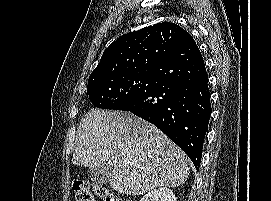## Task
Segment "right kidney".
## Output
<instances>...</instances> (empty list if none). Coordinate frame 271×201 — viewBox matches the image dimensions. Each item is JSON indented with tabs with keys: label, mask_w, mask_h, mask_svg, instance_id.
<instances>
[{
	"label": "right kidney",
	"mask_w": 271,
	"mask_h": 201,
	"mask_svg": "<svg viewBox=\"0 0 271 201\" xmlns=\"http://www.w3.org/2000/svg\"><path fill=\"white\" fill-rule=\"evenodd\" d=\"M173 191L167 187H161L148 192L140 201H176Z\"/></svg>",
	"instance_id": "right-kidney-1"
}]
</instances>
